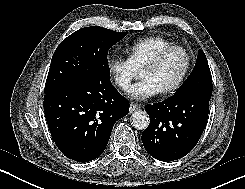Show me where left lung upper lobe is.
<instances>
[{"label":"left lung upper lobe","mask_w":245,"mask_h":189,"mask_svg":"<svg viewBox=\"0 0 245 189\" xmlns=\"http://www.w3.org/2000/svg\"><path fill=\"white\" fill-rule=\"evenodd\" d=\"M212 89V76L210 68L204 52L199 49L197 61L192 73L175 94L188 91H199L211 95Z\"/></svg>","instance_id":"5c2ea615"}]
</instances>
